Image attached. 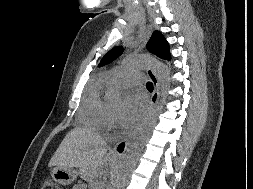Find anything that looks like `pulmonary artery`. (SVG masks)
<instances>
[{"mask_svg": "<svg viewBox=\"0 0 253 189\" xmlns=\"http://www.w3.org/2000/svg\"><path fill=\"white\" fill-rule=\"evenodd\" d=\"M142 80V76L134 72H125L120 79L114 81L117 85L137 84Z\"/></svg>", "mask_w": 253, "mask_h": 189, "instance_id": "e3ab8cb5", "label": "pulmonary artery"}]
</instances>
